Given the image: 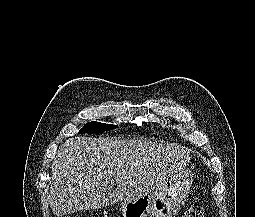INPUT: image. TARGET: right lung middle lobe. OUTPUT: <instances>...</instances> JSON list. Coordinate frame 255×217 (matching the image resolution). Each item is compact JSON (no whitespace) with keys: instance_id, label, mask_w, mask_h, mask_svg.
Here are the masks:
<instances>
[{"instance_id":"1","label":"right lung middle lobe","mask_w":255,"mask_h":217,"mask_svg":"<svg viewBox=\"0 0 255 217\" xmlns=\"http://www.w3.org/2000/svg\"><path fill=\"white\" fill-rule=\"evenodd\" d=\"M117 128V125H111V124H103V123H98V122H88L85 124V126L81 129L79 133H100L104 132L107 130H111Z\"/></svg>"}]
</instances>
